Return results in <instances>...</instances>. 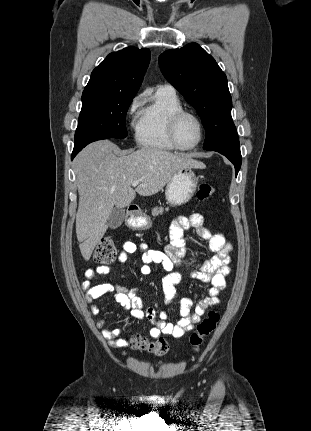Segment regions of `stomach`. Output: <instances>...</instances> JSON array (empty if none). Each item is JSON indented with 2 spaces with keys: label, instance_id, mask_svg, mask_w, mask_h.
Instances as JSON below:
<instances>
[{
  "label": "stomach",
  "instance_id": "1",
  "mask_svg": "<svg viewBox=\"0 0 311 431\" xmlns=\"http://www.w3.org/2000/svg\"><path fill=\"white\" fill-rule=\"evenodd\" d=\"M198 186V178L192 168H182L171 178L165 188V200L169 206H183L192 200ZM129 229H149L152 219L147 214H133L125 219Z\"/></svg>",
  "mask_w": 311,
  "mask_h": 431
}]
</instances>
